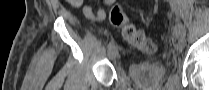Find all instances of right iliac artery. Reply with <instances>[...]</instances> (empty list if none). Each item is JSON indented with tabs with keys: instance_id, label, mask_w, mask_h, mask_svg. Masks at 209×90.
Wrapping results in <instances>:
<instances>
[{
	"instance_id": "right-iliac-artery-1",
	"label": "right iliac artery",
	"mask_w": 209,
	"mask_h": 90,
	"mask_svg": "<svg viewBox=\"0 0 209 90\" xmlns=\"http://www.w3.org/2000/svg\"><path fill=\"white\" fill-rule=\"evenodd\" d=\"M114 47V40L112 39L108 44V50L110 51Z\"/></svg>"
}]
</instances>
